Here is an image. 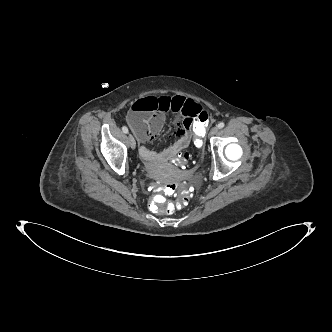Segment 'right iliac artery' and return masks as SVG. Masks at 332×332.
<instances>
[{
  "label": "right iliac artery",
  "mask_w": 332,
  "mask_h": 332,
  "mask_svg": "<svg viewBox=\"0 0 332 332\" xmlns=\"http://www.w3.org/2000/svg\"><path fill=\"white\" fill-rule=\"evenodd\" d=\"M122 131L124 132V133H128L129 131H128V128L126 127V126H123L122 127Z\"/></svg>",
  "instance_id": "obj_1"
}]
</instances>
